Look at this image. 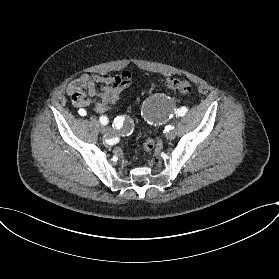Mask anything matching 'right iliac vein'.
<instances>
[{
    "label": "right iliac vein",
    "mask_w": 279,
    "mask_h": 279,
    "mask_svg": "<svg viewBox=\"0 0 279 279\" xmlns=\"http://www.w3.org/2000/svg\"><path fill=\"white\" fill-rule=\"evenodd\" d=\"M93 120H96V118H93ZM97 121V120H96ZM99 131L101 133H106L107 132V129L105 127H103L102 125H99Z\"/></svg>",
    "instance_id": "1"
}]
</instances>
